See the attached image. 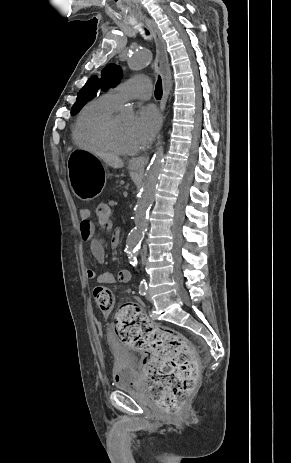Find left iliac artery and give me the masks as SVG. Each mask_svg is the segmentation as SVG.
Here are the masks:
<instances>
[{
  "label": "left iliac artery",
  "instance_id": "44dca946",
  "mask_svg": "<svg viewBox=\"0 0 291 463\" xmlns=\"http://www.w3.org/2000/svg\"><path fill=\"white\" fill-rule=\"evenodd\" d=\"M146 291H147V283H146V281L143 279V280L140 282V285H139V293H140V295H146Z\"/></svg>",
  "mask_w": 291,
  "mask_h": 463
}]
</instances>
